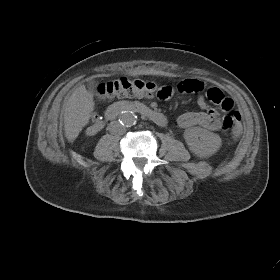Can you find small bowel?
Here are the masks:
<instances>
[{"mask_svg":"<svg viewBox=\"0 0 280 280\" xmlns=\"http://www.w3.org/2000/svg\"><path fill=\"white\" fill-rule=\"evenodd\" d=\"M204 89V83L197 79H184L177 84V90L185 94H197ZM197 104L201 111L186 112L178 116L173 124L176 128L187 129L193 126H201L203 128L218 131L222 128V119L218 112L209 107L204 96L197 97Z\"/></svg>","mask_w":280,"mask_h":280,"instance_id":"obj_1","label":"small bowel"}]
</instances>
